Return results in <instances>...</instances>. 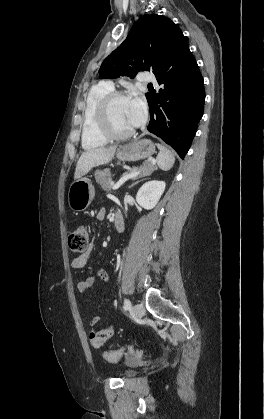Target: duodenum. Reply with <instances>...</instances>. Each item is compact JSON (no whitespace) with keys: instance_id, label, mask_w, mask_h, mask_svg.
<instances>
[{"instance_id":"duodenum-1","label":"duodenum","mask_w":264,"mask_h":419,"mask_svg":"<svg viewBox=\"0 0 264 419\" xmlns=\"http://www.w3.org/2000/svg\"><path fill=\"white\" fill-rule=\"evenodd\" d=\"M114 226L117 232H122L124 230V220L121 214H116L114 219Z\"/></svg>"}]
</instances>
